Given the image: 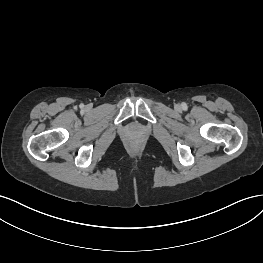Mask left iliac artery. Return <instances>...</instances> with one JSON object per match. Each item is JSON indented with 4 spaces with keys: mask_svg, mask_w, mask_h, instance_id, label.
<instances>
[{
    "mask_svg": "<svg viewBox=\"0 0 263 263\" xmlns=\"http://www.w3.org/2000/svg\"><path fill=\"white\" fill-rule=\"evenodd\" d=\"M183 108H186V104H182Z\"/></svg>",
    "mask_w": 263,
    "mask_h": 263,
    "instance_id": "obj_1",
    "label": "left iliac artery"
}]
</instances>
